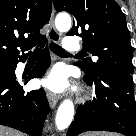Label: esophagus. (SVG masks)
<instances>
[{"label": "esophagus", "mask_w": 136, "mask_h": 136, "mask_svg": "<svg viewBox=\"0 0 136 136\" xmlns=\"http://www.w3.org/2000/svg\"><path fill=\"white\" fill-rule=\"evenodd\" d=\"M54 8L52 9L51 17L49 20V31H48V37L52 43H59L60 42V34L57 32L54 26ZM55 60V57L53 58ZM47 99L52 108H54L59 100V97L51 92L47 93Z\"/></svg>", "instance_id": "obj_1"}]
</instances>
